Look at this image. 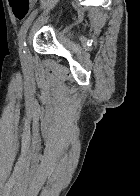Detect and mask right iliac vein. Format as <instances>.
I'll return each mask as SVG.
<instances>
[{
    "instance_id": "1",
    "label": "right iliac vein",
    "mask_w": 140,
    "mask_h": 196,
    "mask_svg": "<svg viewBox=\"0 0 140 196\" xmlns=\"http://www.w3.org/2000/svg\"><path fill=\"white\" fill-rule=\"evenodd\" d=\"M22 60H23L24 64H26L27 66L31 64V56L29 54L28 48H26L25 54L23 55Z\"/></svg>"
}]
</instances>
